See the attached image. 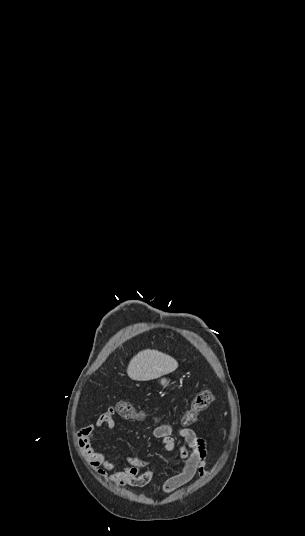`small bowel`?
I'll use <instances>...</instances> for the list:
<instances>
[{"instance_id":"obj_1","label":"small bowel","mask_w":305,"mask_h":536,"mask_svg":"<svg viewBox=\"0 0 305 536\" xmlns=\"http://www.w3.org/2000/svg\"><path fill=\"white\" fill-rule=\"evenodd\" d=\"M114 414L115 411L112 408L102 411L100 418L107 427L114 426ZM102 422H97V425H102ZM152 436L161 442L165 450L177 449L184 459L183 465L176 474L164 482L162 487L164 493H172L188 483L195 475L200 477L206 475L204 469L206 441L194 430L187 427L174 429L165 424L163 427H155L152 430ZM77 437L85 459L98 477L119 486L132 487H143L152 479L154 469L148 467L147 460L126 457L127 466H119L108 459L105 454L97 451L94 446L96 434L91 424H86L84 430L78 432ZM177 438L181 441L178 442Z\"/></svg>"}]
</instances>
